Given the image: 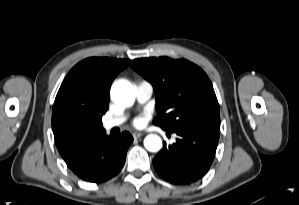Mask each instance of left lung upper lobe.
<instances>
[{"label":"left lung upper lobe","instance_id":"5c2ea615","mask_svg":"<svg viewBox=\"0 0 299 205\" xmlns=\"http://www.w3.org/2000/svg\"><path fill=\"white\" fill-rule=\"evenodd\" d=\"M131 67L154 87L158 111L154 124L168 131L220 124L212 83L197 65L185 59L152 57L135 59Z\"/></svg>","mask_w":299,"mask_h":205}]
</instances>
